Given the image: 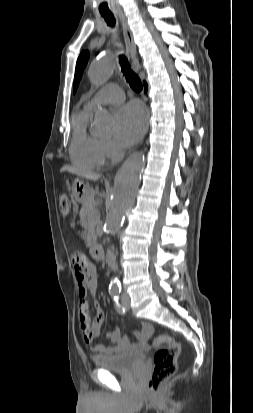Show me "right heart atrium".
<instances>
[{
  "instance_id": "1",
  "label": "right heart atrium",
  "mask_w": 253,
  "mask_h": 413,
  "mask_svg": "<svg viewBox=\"0 0 253 413\" xmlns=\"http://www.w3.org/2000/svg\"><path fill=\"white\" fill-rule=\"evenodd\" d=\"M102 146L106 157L115 158L119 154L118 147L110 140H103Z\"/></svg>"
}]
</instances>
